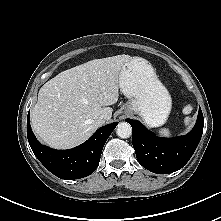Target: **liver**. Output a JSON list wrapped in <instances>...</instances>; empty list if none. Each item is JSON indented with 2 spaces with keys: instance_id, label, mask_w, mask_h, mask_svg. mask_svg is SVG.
Instances as JSON below:
<instances>
[{
  "instance_id": "liver-1",
  "label": "liver",
  "mask_w": 221,
  "mask_h": 221,
  "mask_svg": "<svg viewBox=\"0 0 221 221\" xmlns=\"http://www.w3.org/2000/svg\"><path fill=\"white\" fill-rule=\"evenodd\" d=\"M129 59L125 54L94 59L46 82L31 112L36 135L56 149L86 141L101 126L97 123L100 115L110 121V105L119 97L120 71Z\"/></svg>"
}]
</instances>
